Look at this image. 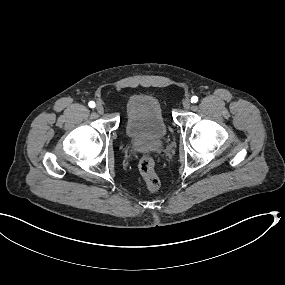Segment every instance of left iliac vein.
I'll list each match as a JSON object with an SVG mask.
<instances>
[{
    "mask_svg": "<svg viewBox=\"0 0 285 285\" xmlns=\"http://www.w3.org/2000/svg\"><path fill=\"white\" fill-rule=\"evenodd\" d=\"M190 106H191L190 100H189V99H185V100L183 101V108H184V109H189Z\"/></svg>",
    "mask_w": 285,
    "mask_h": 285,
    "instance_id": "4c4485c4",
    "label": "left iliac vein"
}]
</instances>
